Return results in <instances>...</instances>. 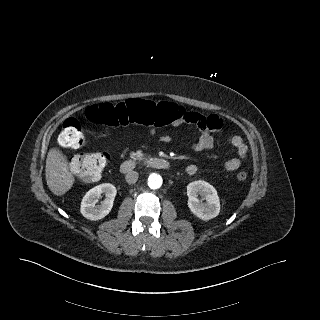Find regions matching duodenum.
Returning a JSON list of instances; mask_svg holds the SVG:
<instances>
[{
    "label": "duodenum",
    "mask_w": 320,
    "mask_h": 320,
    "mask_svg": "<svg viewBox=\"0 0 320 320\" xmlns=\"http://www.w3.org/2000/svg\"><path fill=\"white\" fill-rule=\"evenodd\" d=\"M139 166H144L148 168H154L159 170H168L171 167V164L168 160L164 158H148V159H128L125 160L121 166L120 170L122 173H128Z\"/></svg>",
    "instance_id": "duodenum-1"
}]
</instances>
